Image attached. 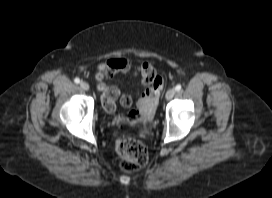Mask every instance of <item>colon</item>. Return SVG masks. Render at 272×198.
Instances as JSON below:
<instances>
[{"label": "colon", "mask_w": 272, "mask_h": 198, "mask_svg": "<svg viewBox=\"0 0 272 198\" xmlns=\"http://www.w3.org/2000/svg\"><path fill=\"white\" fill-rule=\"evenodd\" d=\"M112 75L109 65H104L100 68L98 79L101 81V88L107 91V88L102 81ZM146 84H150L151 80H147ZM139 104L138 108L130 111L127 115H119L116 119L119 124L133 125L144 119L142 107ZM116 150L121 157V169L125 172H134L144 167L148 162V153L145 146L134 138L123 137L117 140Z\"/></svg>", "instance_id": "5ec220e1"}]
</instances>
